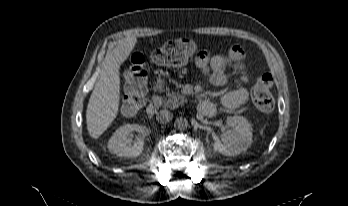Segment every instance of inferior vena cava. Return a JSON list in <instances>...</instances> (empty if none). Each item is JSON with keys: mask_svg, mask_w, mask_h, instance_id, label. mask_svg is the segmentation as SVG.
Segmentation results:
<instances>
[{"mask_svg": "<svg viewBox=\"0 0 348 206\" xmlns=\"http://www.w3.org/2000/svg\"><path fill=\"white\" fill-rule=\"evenodd\" d=\"M156 118L161 123H167L173 118V114L169 110L163 109L157 113Z\"/></svg>", "mask_w": 348, "mask_h": 206, "instance_id": "602c4592", "label": "inferior vena cava"}]
</instances>
